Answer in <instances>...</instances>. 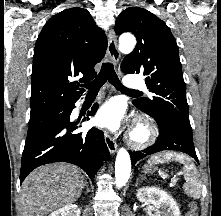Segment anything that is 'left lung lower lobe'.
<instances>
[{
    "label": "left lung lower lobe",
    "instance_id": "obj_1",
    "mask_svg": "<svg viewBox=\"0 0 221 216\" xmlns=\"http://www.w3.org/2000/svg\"><path fill=\"white\" fill-rule=\"evenodd\" d=\"M156 122L159 126V136L157 141L154 145L144 149L143 151H129L132 166H134L138 160L164 150H173L186 153L198 162L193 144L192 132L172 122Z\"/></svg>",
    "mask_w": 221,
    "mask_h": 216
}]
</instances>
